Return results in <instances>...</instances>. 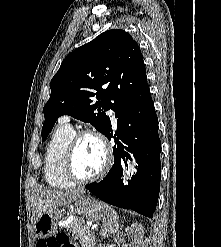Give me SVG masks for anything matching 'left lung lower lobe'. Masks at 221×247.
<instances>
[{
	"mask_svg": "<svg viewBox=\"0 0 221 247\" xmlns=\"http://www.w3.org/2000/svg\"><path fill=\"white\" fill-rule=\"evenodd\" d=\"M117 131L111 125L106 137H114V164L99 183L86 185L102 201L125 209L134 210L152 218L156 209L161 177L158 118L150 97L128 103L115 111ZM129 152L133 153L139 167L137 173L123 185L122 161L127 165Z\"/></svg>",
	"mask_w": 221,
	"mask_h": 247,
	"instance_id": "0a47b994",
	"label": "left lung lower lobe"
}]
</instances>
